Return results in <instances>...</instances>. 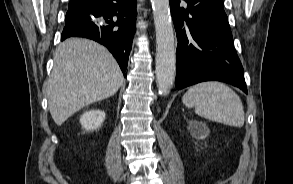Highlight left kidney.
Returning <instances> with one entry per match:
<instances>
[{
  "label": "left kidney",
  "instance_id": "left-kidney-1",
  "mask_svg": "<svg viewBox=\"0 0 293 184\" xmlns=\"http://www.w3.org/2000/svg\"><path fill=\"white\" fill-rule=\"evenodd\" d=\"M191 135L196 139H205L209 134L207 125L200 121H192L188 127Z\"/></svg>",
  "mask_w": 293,
  "mask_h": 184
}]
</instances>
